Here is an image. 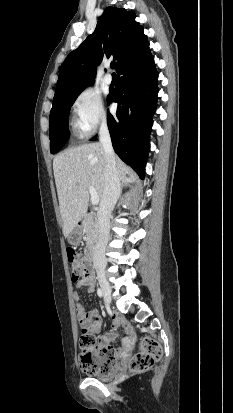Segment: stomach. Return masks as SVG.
<instances>
[{
	"label": "stomach",
	"instance_id": "1",
	"mask_svg": "<svg viewBox=\"0 0 233 413\" xmlns=\"http://www.w3.org/2000/svg\"><path fill=\"white\" fill-rule=\"evenodd\" d=\"M83 237V229L80 225H76L72 231L70 232L69 236L67 237L68 242L72 245H78Z\"/></svg>",
	"mask_w": 233,
	"mask_h": 413
}]
</instances>
